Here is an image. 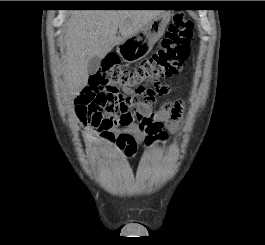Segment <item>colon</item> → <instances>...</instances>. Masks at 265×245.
Listing matches in <instances>:
<instances>
[{
  "label": "colon",
  "mask_w": 265,
  "mask_h": 245,
  "mask_svg": "<svg viewBox=\"0 0 265 245\" xmlns=\"http://www.w3.org/2000/svg\"><path fill=\"white\" fill-rule=\"evenodd\" d=\"M193 29L191 19L183 14L175 15L160 47L132 70L121 68L116 55L106 57L104 64L89 78L90 86L99 94L86 114L91 137H106L113 143L100 127L132 122L149 138L167 137L164 122L153 117L152 108L157 98L166 94L161 81L178 75L188 60Z\"/></svg>",
  "instance_id": "colon-1"
}]
</instances>
